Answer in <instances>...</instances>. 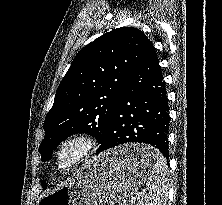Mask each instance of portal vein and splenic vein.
I'll return each mask as SVG.
<instances>
[{"instance_id": "18ae733b", "label": "portal vein and splenic vein", "mask_w": 222, "mask_h": 205, "mask_svg": "<svg viewBox=\"0 0 222 205\" xmlns=\"http://www.w3.org/2000/svg\"><path fill=\"white\" fill-rule=\"evenodd\" d=\"M142 194H143L142 192H139L137 195H138V197H139V196H142ZM131 199H132V202H135V201H136V197H132Z\"/></svg>"}]
</instances>
